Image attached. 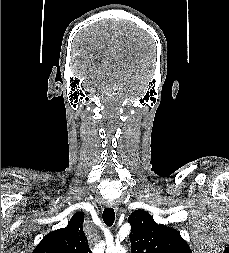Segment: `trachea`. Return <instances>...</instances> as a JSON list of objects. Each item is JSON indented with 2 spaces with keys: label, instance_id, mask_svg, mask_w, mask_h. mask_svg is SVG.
<instances>
[{
  "label": "trachea",
  "instance_id": "3493384b",
  "mask_svg": "<svg viewBox=\"0 0 229 253\" xmlns=\"http://www.w3.org/2000/svg\"><path fill=\"white\" fill-rule=\"evenodd\" d=\"M103 221L107 226H112L115 220V213L113 208H105L103 211Z\"/></svg>",
  "mask_w": 229,
  "mask_h": 253
}]
</instances>
